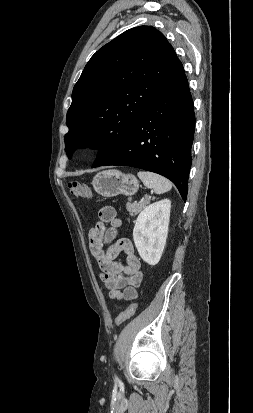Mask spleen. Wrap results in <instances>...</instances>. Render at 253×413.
Returning <instances> with one entry per match:
<instances>
[{
	"instance_id": "spleen-1",
	"label": "spleen",
	"mask_w": 253,
	"mask_h": 413,
	"mask_svg": "<svg viewBox=\"0 0 253 413\" xmlns=\"http://www.w3.org/2000/svg\"><path fill=\"white\" fill-rule=\"evenodd\" d=\"M138 177L147 188H152L156 194H163L172 188L171 182L165 177L149 171H139Z\"/></svg>"
}]
</instances>
